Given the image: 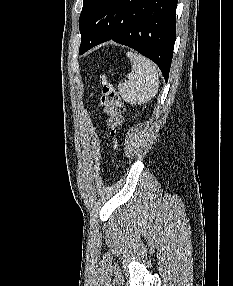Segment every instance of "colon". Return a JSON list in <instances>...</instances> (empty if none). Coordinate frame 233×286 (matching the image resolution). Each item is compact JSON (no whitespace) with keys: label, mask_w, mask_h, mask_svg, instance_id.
<instances>
[{"label":"colon","mask_w":233,"mask_h":286,"mask_svg":"<svg viewBox=\"0 0 233 286\" xmlns=\"http://www.w3.org/2000/svg\"><path fill=\"white\" fill-rule=\"evenodd\" d=\"M100 104L107 117L106 122L111 135L115 137L122 125L124 107L114 85L105 77L102 78Z\"/></svg>","instance_id":"1"}]
</instances>
